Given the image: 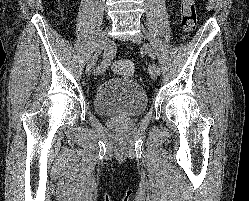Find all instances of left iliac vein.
Here are the masks:
<instances>
[{
  "label": "left iliac vein",
  "mask_w": 249,
  "mask_h": 201,
  "mask_svg": "<svg viewBox=\"0 0 249 201\" xmlns=\"http://www.w3.org/2000/svg\"><path fill=\"white\" fill-rule=\"evenodd\" d=\"M131 40H132L134 43L141 44L142 41H143V35L140 34V33H139V34H136V35H134V36L131 38ZM149 74H150V76H151V78H152L153 80H156V79L158 78V76H159V73H158L157 68H156L155 66H151V67L149 68Z\"/></svg>",
  "instance_id": "obj_1"
}]
</instances>
